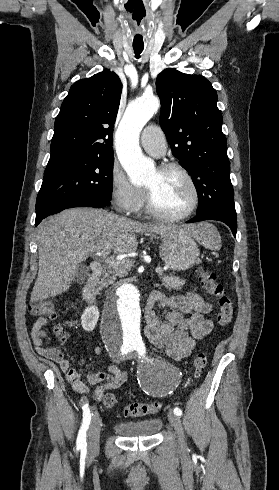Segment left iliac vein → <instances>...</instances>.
<instances>
[{
    "label": "left iliac vein",
    "mask_w": 279,
    "mask_h": 490,
    "mask_svg": "<svg viewBox=\"0 0 279 490\" xmlns=\"http://www.w3.org/2000/svg\"><path fill=\"white\" fill-rule=\"evenodd\" d=\"M168 420L170 422V425L176 431L179 447L185 448L186 443H185V438H184V433H183V428H182L180 418L176 414L170 411L168 412Z\"/></svg>",
    "instance_id": "left-iliac-vein-1"
}]
</instances>
